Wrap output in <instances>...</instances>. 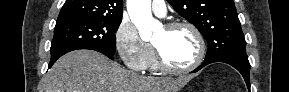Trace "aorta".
<instances>
[{"label": "aorta", "instance_id": "obj_1", "mask_svg": "<svg viewBox=\"0 0 289 92\" xmlns=\"http://www.w3.org/2000/svg\"><path fill=\"white\" fill-rule=\"evenodd\" d=\"M127 11L143 40H148L160 23L152 17L151 0H127Z\"/></svg>", "mask_w": 289, "mask_h": 92}]
</instances>
